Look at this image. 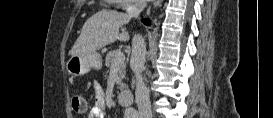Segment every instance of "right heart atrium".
<instances>
[{
  "mask_svg": "<svg viewBox=\"0 0 273 118\" xmlns=\"http://www.w3.org/2000/svg\"><path fill=\"white\" fill-rule=\"evenodd\" d=\"M114 2L122 9H131L136 6L135 0H114Z\"/></svg>",
  "mask_w": 273,
  "mask_h": 118,
  "instance_id": "d8ad5b80",
  "label": "right heart atrium"
}]
</instances>
